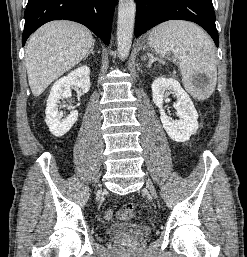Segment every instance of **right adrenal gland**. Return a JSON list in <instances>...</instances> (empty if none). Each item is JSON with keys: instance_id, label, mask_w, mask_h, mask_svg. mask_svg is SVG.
<instances>
[{"instance_id": "1", "label": "right adrenal gland", "mask_w": 247, "mask_h": 257, "mask_svg": "<svg viewBox=\"0 0 247 257\" xmlns=\"http://www.w3.org/2000/svg\"><path fill=\"white\" fill-rule=\"evenodd\" d=\"M90 54L94 55V43H93V45H92L90 51L87 53V55L84 57L83 60L85 61V60L88 58V56H89Z\"/></svg>"}]
</instances>
